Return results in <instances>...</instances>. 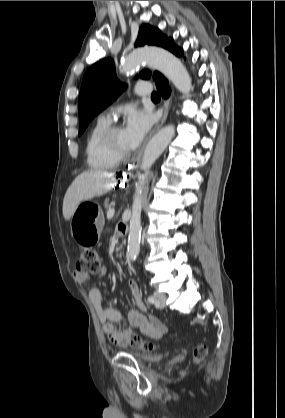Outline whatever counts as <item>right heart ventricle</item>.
I'll return each instance as SVG.
<instances>
[{
  "label": "right heart ventricle",
  "instance_id": "e07e8e85",
  "mask_svg": "<svg viewBox=\"0 0 285 418\" xmlns=\"http://www.w3.org/2000/svg\"><path fill=\"white\" fill-rule=\"evenodd\" d=\"M108 124L105 118H99L92 125L85 139V155L89 168L100 171L115 167L120 160L109 157L98 142L99 135Z\"/></svg>",
  "mask_w": 285,
  "mask_h": 418
}]
</instances>
